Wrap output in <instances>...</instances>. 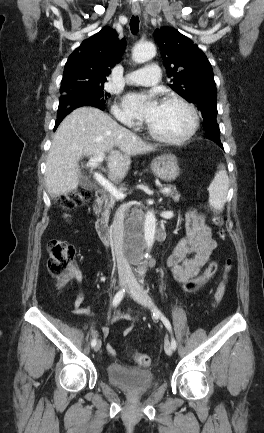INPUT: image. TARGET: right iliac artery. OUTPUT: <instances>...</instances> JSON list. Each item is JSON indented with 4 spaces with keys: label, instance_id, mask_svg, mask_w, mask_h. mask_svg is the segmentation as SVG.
Instances as JSON below:
<instances>
[{
    "label": "right iliac artery",
    "instance_id": "82829eb1",
    "mask_svg": "<svg viewBox=\"0 0 264 433\" xmlns=\"http://www.w3.org/2000/svg\"><path fill=\"white\" fill-rule=\"evenodd\" d=\"M124 293H125V288H123L122 290H120L116 295H115V297H114V299H113V301H112V305H113V307H116L119 303H120V301L122 300V298H123V296H124ZM96 339L94 338L92 341H91V346L92 347H94L95 345H96Z\"/></svg>",
    "mask_w": 264,
    "mask_h": 433
}]
</instances>
